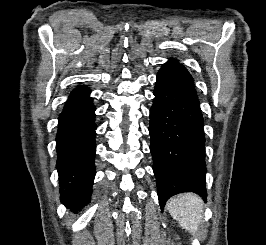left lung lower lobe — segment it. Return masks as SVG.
I'll return each mask as SVG.
<instances>
[{"mask_svg": "<svg viewBox=\"0 0 266 245\" xmlns=\"http://www.w3.org/2000/svg\"><path fill=\"white\" fill-rule=\"evenodd\" d=\"M150 109V151L161 208L173 195L194 192L206 201L205 134L193 78L175 59L157 74Z\"/></svg>", "mask_w": 266, "mask_h": 245, "instance_id": "1", "label": "left lung lower lobe"}]
</instances>
